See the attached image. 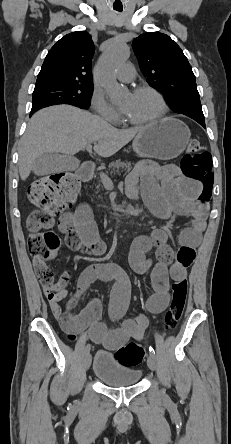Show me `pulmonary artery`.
Listing matches in <instances>:
<instances>
[{
  "mask_svg": "<svg viewBox=\"0 0 231 444\" xmlns=\"http://www.w3.org/2000/svg\"><path fill=\"white\" fill-rule=\"evenodd\" d=\"M116 75L117 78L122 82H131L135 78L136 71L131 63H125L121 65Z\"/></svg>",
  "mask_w": 231,
  "mask_h": 444,
  "instance_id": "1",
  "label": "pulmonary artery"
}]
</instances>
